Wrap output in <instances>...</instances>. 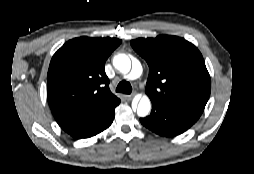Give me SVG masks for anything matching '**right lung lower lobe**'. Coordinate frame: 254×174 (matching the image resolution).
<instances>
[{"label":"right lung lower lobe","mask_w":254,"mask_h":174,"mask_svg":"<svg viewBox=\"0 0 254 174\" xmlns=\"http://www.w3.org/2000/svg\"><path fill=\"white\" fill-rule=\"evenodd\" d=\"M118 104L99 105L86 109L59 126L76 139L95 136L111 125Z\"/></svg>","instance_id":"obj_1"}]
</instances>
